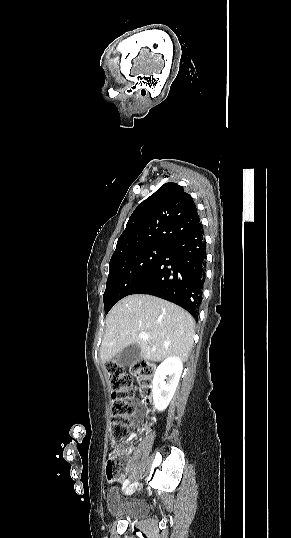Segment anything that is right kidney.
Listing matches in <instances>:
<instances>
[{"label": "right kidney", "instance_id": "obj_1", "mask_svg": "<svg viewBox=\"0 0 291 538\" xmlns=\"http://www.w3.org/2000/svg\"><path fill=\"white\" fill-rule=\"evenodd\" d=\"M183 369L177 356L166 358L156 369L152 382V395L155 408L163 411L169 405L178 385Z\"/></svg>", "mask_w": 291, "mask_h": 538}]
</instances>
